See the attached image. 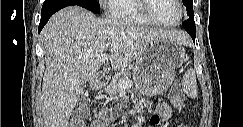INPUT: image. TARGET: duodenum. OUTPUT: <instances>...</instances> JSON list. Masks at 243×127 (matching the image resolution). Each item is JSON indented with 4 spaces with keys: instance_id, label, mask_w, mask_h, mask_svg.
Listing matches in <instances>:
<instances>
[{
    "instance_id": "obj_1",
    "label": "duodenum",
    "mask_w": 243,
    "mask_h": 127,
    "mask_svg": "<svg viewBox=\"0 0 243 127\" xmlns=\"http://www.w3.org/2000/svg\"><path fill=\"white\" fill-rule=\"evenodd\" d=\"M108 81H109V78L106 74L104 73H98L95 78H94V81H93V87L95 89H103L107 86L108 84ZM97 124L98 126H101V127H105L106 124H105V119L103 118H99L97 120Z\"/></svg>"
}]
</instances>
